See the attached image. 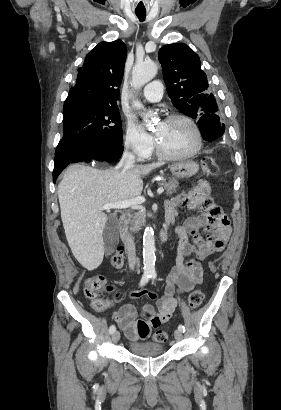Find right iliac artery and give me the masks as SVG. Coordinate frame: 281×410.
Listing matches in <instances>:
<instances>
[{
    "label": "right iliac artery",
    "instance_id": "right-iliac-artery-1",
    "mask_svg": "<svg viewBox=\"0 0 281 410\" xmlns=\"http://www.w3.org/2000/svg\"><path fill=\"white\" fill-rule=\"evenodd\" d=\"M150 277H151V275H149V274H144V275L142 276V278H141L140 286H141V287L144 286V285L149 281V278H150ZM115 331H116L115 325H111L110 328H109V333H110V334H113Z\"/></svg>",
    "mask_w": 281,
    "mask_h": 410
}]
</instances>
